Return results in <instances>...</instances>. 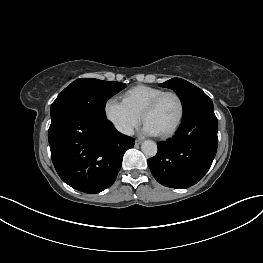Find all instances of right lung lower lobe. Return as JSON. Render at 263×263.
<instances>
[{
	"label": "right lung lower lobe",
	"instance_id": "right-lung-lower-lobe-1",
	"mask_svg": "<svg viewBox=\"0 0 263 263\" xmlns=\"http://www.w3.org/2000/svg\"><path fill=\"white\" fill-rule=\"evenodd\" d=\"M48 140L60 178L89 194L114 183L123 155L135 141L117 132L106 117L79 112L63 113L52 120Z\"/></svg>",
	"mask_w": 263,
	"mask_h": 263
}]
</instances>
